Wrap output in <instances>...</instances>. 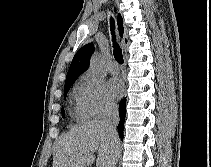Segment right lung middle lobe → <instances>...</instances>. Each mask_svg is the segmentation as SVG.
Instances as JSON below:
<instances>
[{
    "label": "right lung middle lobe",
    "mask_w": 211,
    "mask_h": 167,
    "mask_svg": "<svg viewBox=\"0 0 211 167\" xmlns=\"http://www.w3.org/2000/svg\"><path fill=\"white\" fill-rule=\"evenodd\" d=\"M75 80H71L68 82H65V87H64V95H66L70 89V87L72 86V84L74 83ZM65 112H64V108L62 107V116H64Z\"/></svg>",
    "instance_id": "1"
}]
</instances>
